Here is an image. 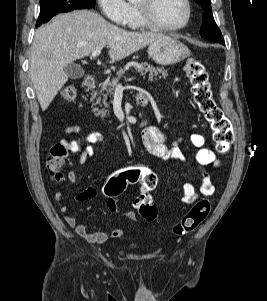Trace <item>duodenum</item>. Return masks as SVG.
Returning <instances> with one entry per match:
<instances>
[{"instance_id": "410a0bca", "label": "duodenum", "mask_w": 267, "mask_h": 301, "mask_svg": "<svg viewBox=\"0 0 267 301\" xmlns=\"http://www.w3.org/2000/svg\"><path fill=\"white\" fill-rule=\"evenodd\" d=\"M94 86H95V79L94 78H86L84 81H83V88L90 92L94 89ZM136 102H137V105L139 108L141 109H144L147 104H148V97L146 95V93L144 92H141L137 95L136 97ZM144 120L141 122V125H144Z\"/></svg>"}]
</instances>
